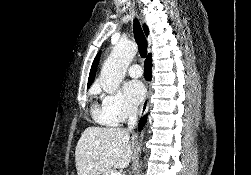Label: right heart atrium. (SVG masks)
Segmentation results:
<instances>
[{"mask_svg": "<svg viewBox=\"0 0 251 175\" xmlns=\"http://www.w3.org/2000/svg\"><path fill=\"white\" fill-rule=\"evenodd\" d=\"M98 98L102 113L114 124L126 122L137 115V108L131 105L120 91L98 93Z\"/></svg>", "mask_w": 251, "mask_h": 175, "instance_id": "d8ad5b80", "label": "right heart atrium"}]
</instances>
